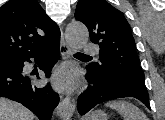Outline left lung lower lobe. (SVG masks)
<instances>
[{
  "instance_id": "obj_1",
  "label": "left lung lower lobe",
  "mask_w": 165,
  "mask_h": 120,
  "mask_svg": "<svg viewBox=\"0 0 165 120\" xmlns=\"http://www.w3.org/2000/svg\"><path fill=\"white\" fill-rule=\"evenodd\" d=\"M88 74L87 80L90 84L88 89L78 97L77 108L81 115L87 113L97 104L102 102L123 98L134 97L140 100L150 109L149 96L147 89L137 87H113V86H99L98 81L90 72V68L87 67Z\"/></svg>"
}]
</instances>
